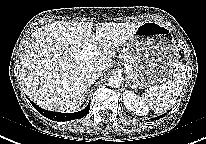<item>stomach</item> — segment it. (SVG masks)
<instances>
[{
	"mask_svg": "<svg viewBox=\"0 0 206 144\" xmlns=\"http://www.w3.org/2000/svg\"><path fill=\"white\" fill-rule=\"evenodd\" d=\"M136 87L148 88L165 81L179 63V49L170 29L157 22H143L126 43Z\"/></svg>",
	"mask_w": 206,
	"mask_h": 144,
	"instance_id": "0dacf381",
	"label": "stomach"
}]
</instances>
